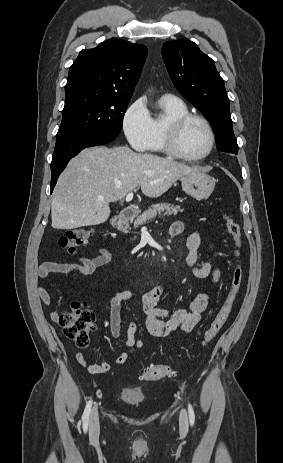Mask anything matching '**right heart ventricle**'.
Masks as SVG:
<instances>
[{
	"label": "right heart ventricle",
	"instance_id": "right-heart-ventricle-1",
	"mask_svg": "<svg viewBox=\"0 0 283 463\" xmlns=\"http://www.w3.org/2000/svg\"><path fill=\"white\" fill-rule=\"evenodd\" d=\"M161 113L151 117L152 137L148 150L158 153H165L164 130L165 126L172 119L188 113L187 105L176 97H162L159 100Z\"/></svg>",
	"mask_w": 283,
	"mask_h": 463
}]
</instances>
